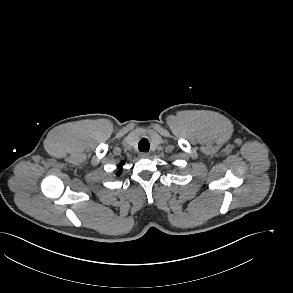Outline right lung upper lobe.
I'll list each match as a JSON object with an SVG mask.
<instances>
[{
    "mask_svg": "<svg viewBox=\"0 0 293 293\" xmlns=\"http://www.w3.org/2000/svg\"><path fill=\"white\" fill-rule=\"evenodd\" d=\"M123 162L121 163V166H122ZM117 176H119V174H117Z\"/></svg>",
    "mask_w": 293,
    "mask_h": 293,
    "instance_id": "right-lung-upper-lobe-1",
    "label": "right lung upper lobe"
}]
</instances>
